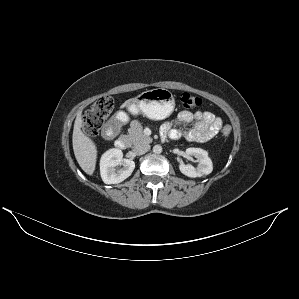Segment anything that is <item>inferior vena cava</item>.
Segmentation results:
<instances>
[{"instance_id":"obj_1","label":"inferior vena cava","mask_w":299,"mask_h":299,"mask_svg":"<svg viewBox=\"0 0 299 299\" xmlns=\"http://www.w3.org/2000/svg\"><path fill=\"white\" fill-rule=\"evenodd\" d=\"M150 149L149 144H138L134 147L133 152L136 155H143Z\"/></svg>"}]
</instances>
